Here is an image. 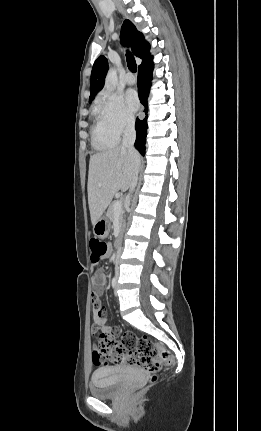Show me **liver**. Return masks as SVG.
<instances>
[{"mask_svg":"<svg viewBox=\"0 0 261 431\" xmlns=\"http://www.w3.org/2000/svg\"><path fill=\"white\" fill-rule=\"evenodd\" d=\"M140 163L138 152L131 154L122 146L90 157L87 191L93 225L101 218L115 193L130 187Z\"/></svg>","mask_w":261,"mask_h":431,"instance_id":"liver-1","label":"liver"}]
</instances>
